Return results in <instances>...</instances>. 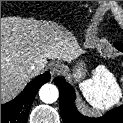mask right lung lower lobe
<instances>
[{
  "instance_id": "98d812e1",
  "label": "right lung lower lobe",
  "mask_w": 123,
  "mask_h": 123,
  "mask_svg": "<svg viewBox=\"0 0 123 123\" xmlns=\"http://www.w3.org/2000/svg\"><path fill=\"white\" fill-rule=\"evenodd\" d=\"M50 80V73L33 79L14 100L1 105V123H27L28 113L39 88Z\"/></svg>"
}]
</instances>
